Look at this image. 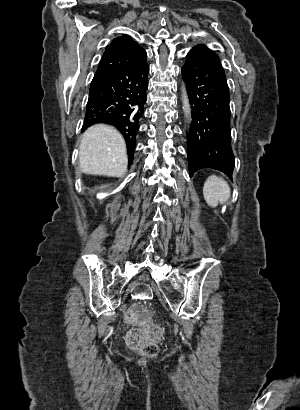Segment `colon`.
<instances>
[{"mask_svg": "<svg viewBox=\"0 0 300 410\" xmlns=\"http://www.w3.org/2000/svg\"><path fill=\"white\" fill-rule=\"evenodd\" d=\"M126 319L135 326L127 334L128 346L146 356L156 355L162 330L151 320L149 311L140 305L132 306L126 312Z\"/></svg>", "mask_w": 300, "mask_h": 410, "instance_id": "obj_1", "label": "colon"}]
</instances>
